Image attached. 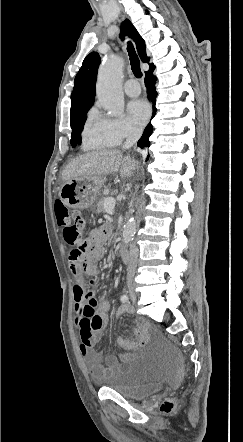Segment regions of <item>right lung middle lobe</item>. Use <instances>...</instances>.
Returning a JSON list of instances; mask_svg holds the SVG:
<instances>
[{"mask_svg":"<svg viewBox=\"0 0 243 442\" xmlns=\"http://www.w3.org/2000/svg\"><path fill=\"white\" fill-rule=\"evenodd\" d=\"M85 116L86 112L81 114V116L75 122L71 123L72 136L70 142L73 147L81 142L80 132L85 124Z\"/></svg>","mask_w":243,"mask_h":442,"instance_id":"obj_1","label":"right lung middle lobe"}]
</instances>
